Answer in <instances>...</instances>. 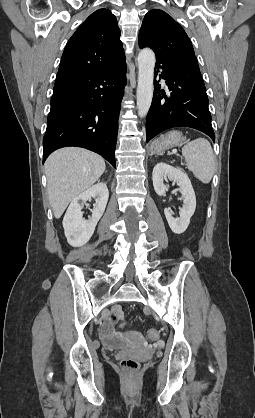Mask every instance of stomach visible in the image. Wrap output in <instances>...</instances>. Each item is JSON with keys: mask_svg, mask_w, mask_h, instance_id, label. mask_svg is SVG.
<instances>
[{"mask_svg": "<svg viewBox=\"0 0 255 418\" xmlns=\"http://www.w3.org/2000/svg\"><path fill=\"white\" fill-rule=\"evenodd\" d=\"M184 137L180 131H170L164 136L152 142L150 150L152 153H162L166 149L180 145Z\"/></svg>", "mask_w": 255, "mask_h": 418, "instance_id": "stomach-1", "label": "stomach"}]
</instances>
